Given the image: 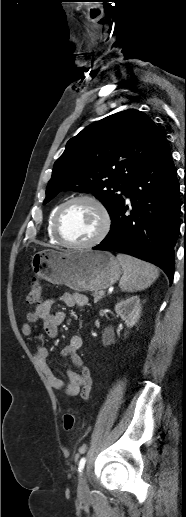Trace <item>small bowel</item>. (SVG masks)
Listing matches in <instances>:
<instances>
[{"label":"small bowel","mask_w":186,"mask_h":517,"mask_svg":"<svg viewBox=\"0 0 186 517\" xmlns=\"http://www.w3.org/2000/svg\"><path fill=\"white\" fill-rule=\"evenodd\" d=\"M59 300L69 307H83L88 304L87 297L80 293H65ZM53 304V299H45L35 310L27 314L26 322L22 326V333L25 336L33 334V325L38 321H41L43 331L48 337L55 338L58 336L59 327L65 320V313L54 312L52 310ZM82 345V337L80 335H73L68 345L61 350V356L69 357L72 364L78 370H69L67 372V380L57 376L48 366L46 361L49 352L44 346L38 345L34 355L42 373L52 388L62 390L68 396L80 395L83 401H87L91 395L92 377L90 370L79 354Z\"/></svg>","instance_id":"1"}]
</instances>
